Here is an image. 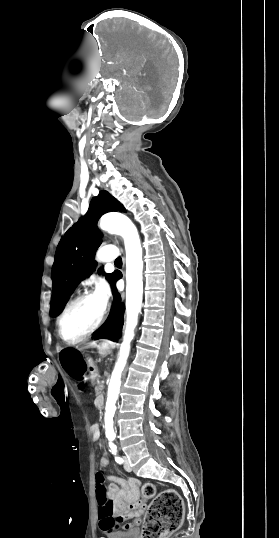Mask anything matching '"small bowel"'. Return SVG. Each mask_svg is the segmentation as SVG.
I'll list each match as a JSON object with an SVG mask.
<instances>
[{"label": "small bowel", "instance_id": "c3829d8e", "mask_svg": "<svg viewBox=\"0 0 279 538\" xmlns=\"http://www.w3.org/2000/svg\"><path fill=\"white\" fill-rule=\"evenodd\" d=\"M78 387H83L82 381L78 382ZM92 434L94 439H98L99 429L96 425L92 427ZM109 463L108 457H103L100 460L102 467L107 466ZM108 479L111 483L107 491L114 504L115 513L112 517H100L101 530L105 533L118 528L135 530L139 526L141 516L145 511V503L140 498V481L136 478L125 480L112 475L108 476Z\"/></svg>", "mask_w": 279, "mask_h": 538}]
</instances>
